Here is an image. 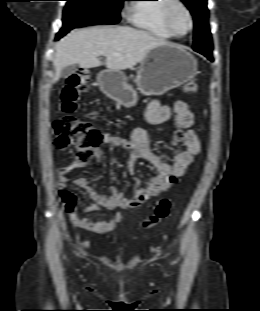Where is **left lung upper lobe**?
<instances>
[{
	"label": "left lung upper lobe",
	"mask_w": 260,
	"mask_h": 311,
	"mask_svg": "<svg viewBox=\"0 0 260 311\" xmlns=\"http://www.w3.org/2000/svg\"><path fill=\"white\" fill-rule=\"evenodd\" d=\"M194 17V50L212 51V38L208 25L207 0H181Z\"/></svg>",
	"instance_id": "5c2ea615"
}]
</instances>
